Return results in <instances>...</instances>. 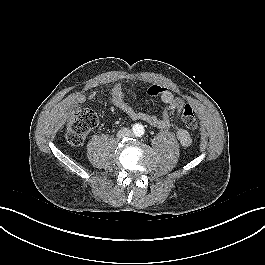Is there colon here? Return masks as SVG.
Listing matches in <instances>:
<instances>
[{
	"mask_svg": "<svg viewBox=\"0 0 265 265\" xmlns=\"http://www.w3.org/2000/svg\"><path fill=\"white\" fill-rule=\"evenodd\" d=\"M148 92L152 96H159L163 92V88L152 86ZM182 120L187 129H196L197 118L193 108L188 104L183 107ZM97 122V115L91 108H83L72 113L67 120L68 141L73 145H80L87 134L96 127Z\"/></svg>",
	"mask_w": 265,
	"mask_h": 265,
	"instance_id": "5ec220e1",
	"label": "colon"
}]
</instances>
